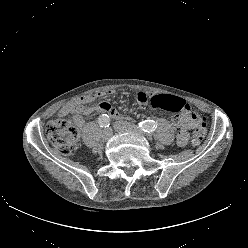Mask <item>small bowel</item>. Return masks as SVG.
<instances>
[{
  "instance_id": "1",
  "label": "small bowel",
  "mask_w": 248,
  "mask_h": 248,
  "mask_svg": "<svg viewBox=\"0 0 248 248\" xmlns=\"http://www.w3.org/2000/svg\"><path fill=\"white\" fill-rule=\"evenodd\" d=\"M112 94L113 91L108 90L85 95L61 107L58 111V116L65 117L71 113L88 114L95 111L98 113L107 114L111 118H121L116 108L106 101L99 102L95 107L84 106L85 104L92 103L98 99L104 98ZM136 101L137 103L142 105L148 104L149 94L143 91L138 92L136 94ZM171 121L175 126L181 128L176 132L178 145L185 146L189 140L188 129L192 127L193 119L190 117V115H188L187 112H184L183 115L172 116ZM75 122L79 127L83 125V119L80 116L76 117Z\"/></svg>"
}]
</instances>
